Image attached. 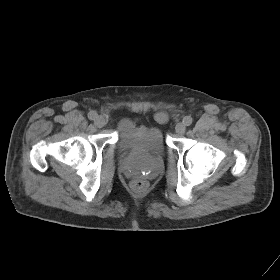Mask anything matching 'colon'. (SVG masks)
I'll use <instances>...</instances> for the list:
<instances>
[{
  "label": "colon",
  "instance_id": "obj_1",
  "mask_svg": "<svg viewBox=\"0 0 280 280\" xmlns=\"http://www.w3.org/2000/svg\"><path fill=\"white\" fill-rule=\"evenodd\" d=\"M133 187L137 191H143V190L146 189L147 183L144 180H142V179H136L133 182Z\"/></svg>",
  "mask_w": 280,
  "mask_h": 280
}]
</instances>
